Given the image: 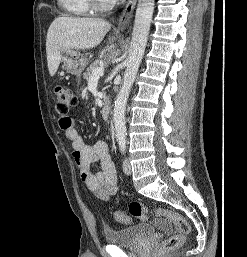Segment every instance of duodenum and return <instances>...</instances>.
I'll list each match as a JSON object with an SVG mask.
<instances>
[{"label":"duodenum","mask_w":247,"mask_h":257,"mask_svg":"<svg viewBox=\"0 0 247 257\" xmlns=\"http://www.w3.org/2000/svg\"><path fill=\"white\" fill-rule=\"evenodd\" d=\"M101 116L104 120L109 119L110 114H111V107L110 104L108 102H105L100 110Z\"/></svg>","instance_id":"1"}]
</instances>
